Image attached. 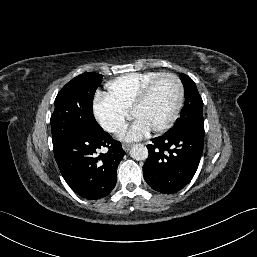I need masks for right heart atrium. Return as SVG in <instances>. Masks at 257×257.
Returning a JSON list of instances; mask_svg holds the SVG:
<instances>
[{"label":"right heart atrium","mask_w":257,"mask_h":257,"mask_svg":"<svg viewBox=\"0 0 257 257\" xmlns=\"http://www.w3.org/2000/svg\"><path fill=\"white\" fill-rule=\"evenodd\" d=\"M100 103H106L116 111L117 120L115 122L111 124H107L99 118V115L97 112V106ZM94 116L96 121L104 131L108 132L111 135H118L122 130V128L124 127L125 120L127 117V112L121 109L119 106H117L107 95L102 94L98 96V99L94 105Z\"/></svg>","instance_id":"right-heart-atrium-1"}]
</instances>
